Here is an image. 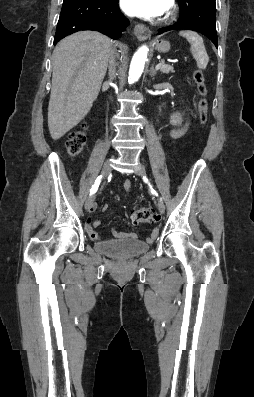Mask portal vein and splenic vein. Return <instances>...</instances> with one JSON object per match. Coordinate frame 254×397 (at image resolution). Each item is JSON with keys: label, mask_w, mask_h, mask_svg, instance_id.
<instances>
[{"label": "portal vein and splenic vein", "mask_w": 254, "mask_h": 397, "mask_svg": "<svg viewBox=\"0 0 254 397\" xmlns=\"http://www.w3.org/2000/svg\"><path fill=\"white\" fill-rule=\"evenodd\" d=\"M163 63H164V62H160L159 64H157V65H156V69L158 70V69L162 66Z\"/></svg>", "instance_id": "portal-vein-and-splenic-vein-1"}]
</instances>
